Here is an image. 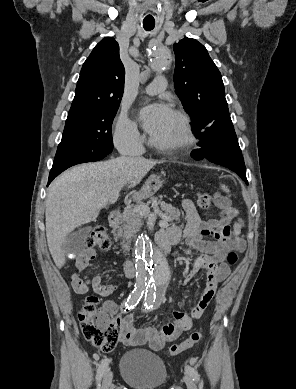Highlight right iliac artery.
Wrapping results in <instances>:
<instances>
[{"instance_id": "right-iliac-artery-1", "label": "right iliac artery", "mask_w": 296, "mask_h": 389, "mask_svg": "<svg viewBox=\"0 0 296 389\" xmlns=\"http://www.w3.org/2000/svg\"><path fill=\"white\" fill-rule=\"evenodd\" d=\"M144 294V290L142 287H137L135 288L130 296L128 297L127 301L125 302V307L126 309L130 310L133 309L140 299L142 298ZM109 360L105 359L102 361V363L99 365L97 369V374H96V380L99 383L103 375L105 374L107 368H108Z\"/></svg>"}]
</instances>
